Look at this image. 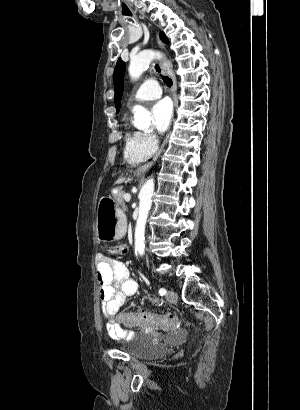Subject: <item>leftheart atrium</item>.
Returning <instances> with one entry per match:
<instances>
[{"instance_id":"left-heart-atrium-1","label":"left heart atrium","mask_w":300,"mask_h":410,"mask_svg":"<svg viewBox=\"0 0 300 410\" xmlns=\"http://www.w3.org/2000/svg\"><path fill=\"white\" fill-rule=\"evenodd\" d=\"M153 124L156 131L163 134L169 128L172 119V105L169 100L158 101L152 108Z\"/></svg>"}]
</instances>
